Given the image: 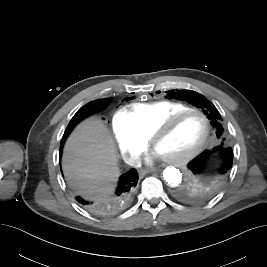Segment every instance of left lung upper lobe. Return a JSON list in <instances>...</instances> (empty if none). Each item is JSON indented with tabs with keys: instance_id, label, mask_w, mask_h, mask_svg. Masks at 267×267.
Masks as SVG:
<instances>
[{
	"instance_id": "1",
	"label": "left lung upper lobe",
	"mask_w": 267,
	"mask_h": 267,
	"mask_svg": "<svg viewBox=\"0 0 267 267\" xmlns=\"http://www.w3.org/2000/svg\"><path fill=\"white\" fill-rule=\"evenodd\" d=\"M167 93H168L167 95L168 99L187 101L188 103L196 106L197 108L202 109L204 114H206L207 118L210 120V123L215 130L216 136L221 139L224 137V129L221 125V120H220L221 115L216 109V107L212 103L207 101L203 95L191 90H184V91L170 90Z\"/></svg>"
}]
</instances>
